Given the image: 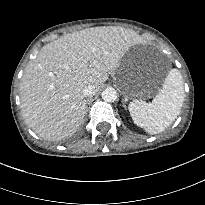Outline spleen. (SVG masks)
Instances as JSON below:
<instances>
[{"label":"spleen","instance_id":"1","mask_svg":"<svg viewBox=\"0 0 205 205\" xmlns=\"http://www.w3.org/2000/svg\"><path fill=\"white\" fill-rule=\"evenodd\" d=\"M184 98L182 75L179 70L171 69L152 103L134 100L128 108L137 126L149 134H156L165 130L177 118Z\"/></svg>","mask_w":205,"mask_h":205}]
</instances>
